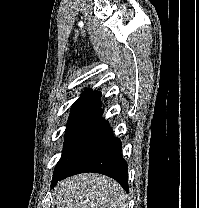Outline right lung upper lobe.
<instances>
[{"label": "right lung upper lobe", "instance_id": "right-lung-upper-lobe-1", "mask_svg": "<svg viewBox=\"0 0 199 208\" xmlns=\"http://www.w3.org/2000/svg\"><path fill=\"white\" fill-rule=\"evenodd\" d=\"M100 92H84L81 97L74 102L71 107V111H81V110H90V109H99L101 106L100 101Z\"/></svg>", "mask_w": 199, "mask_h": 208}]
</instances>
